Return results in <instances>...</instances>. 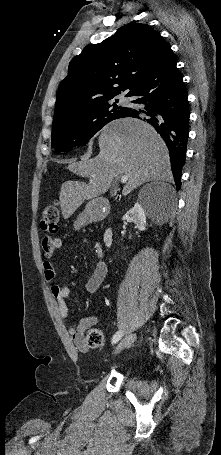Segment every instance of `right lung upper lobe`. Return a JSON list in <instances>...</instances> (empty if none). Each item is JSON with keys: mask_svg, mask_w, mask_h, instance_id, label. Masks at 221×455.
Returning a JSON list of instances; mask_svg holds the SVG:
<instances>
[{"mask_svg": "<svg viewBox=\"0 0 221 455\" xmlns=\"http://www.w3.org/2000/svg\"><path fill=\"white\" fill-rule=\"evenodd\" d=\"M160 34L146 24L134 23L75 56L61 82L53 123L113 99L130 96L139 82L170 50Z\"/></svg>", "mask_w": 221, "mask_h": 455, "instance_id": "obj_1", "label": "right lung upper lobe"}]
</instances>
